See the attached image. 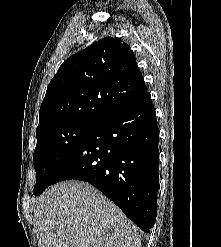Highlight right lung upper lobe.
Returning <instances> with one entry per match:
<instances>
[{
	"label": "right lung upper lobe",
	"instance_id": "cb5924a9",
	"mask_svg": "<svg viewBox=\"0 0 221 247\" xmlns=\"http://www.w3.org/2000/svg\"><path fill=\"white\" fill-rule=\"evenodd\" d=\"M146 92L130 46L103 38L60 66L41 104L36 134L72 122L98 124Z\"/></svg>",
	"mask_w": 221,
	"mask_h": 247
}]
</instances>
